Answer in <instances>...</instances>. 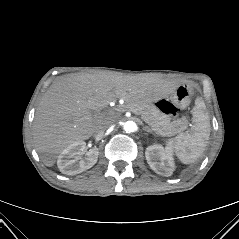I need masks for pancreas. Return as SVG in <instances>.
<instances>
[{
	"mask_svg": "<svg viewBox=\"0 0 239 239\" xmlns=\"http://www.w3.org/2000/svg\"><path fill=\"white\" fill-rule=\"evenodd\" d=\"M126 107L141 115L142 119L151 126L152 130L162 136L171 137L185 130L188 122L185 117L171 121L155 105L149 103H128Z\"/></svg>",
	"mask_w": 239,
	"mask_h": 239,
	"instance_id": "1",
	"label": "pancreas"
}]
</instances>
